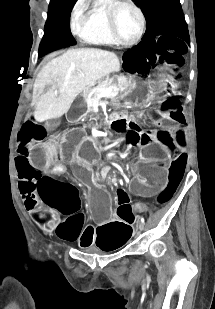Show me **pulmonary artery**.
Here are the masks:
<instances>
[{"label": "pulmonary artery", "instance_id": "e3ab8cb5", "mask_svg": "<svg viewBox=\"0 0 215 309\" xmlns=\"http://www.w3.org/2000/svg\"><path fill=\"white\" fill-rule=\"evenodd\" d=\"M97 6H100V3H97Z\"/></svg>", "mask_w": 215, "mask_h": 309}]
</instances>
